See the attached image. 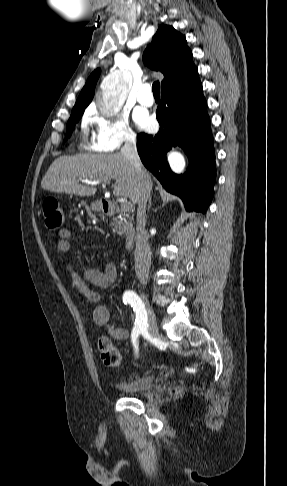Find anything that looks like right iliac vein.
<instances>
[{"mask_svg":"<svg viewBox=\"0 0 287 486\" xmlns=\"http://www.w3.org/2000/svg\"><path fill=\"white\" fill-rule=\"evenodd\" d=\"M142 298H143V300L146 303L147 308H148V324H149L148 332H149L151 337L158 338L159 337V329H158V326H157V323H156L155 314H154L153 310L149 307L147 298L144 295H142Z\"/></svg>","mask_w":287,"mask_h":486,"instance_id":"obj_1","label":"right iliac vein"}]
</instances>
